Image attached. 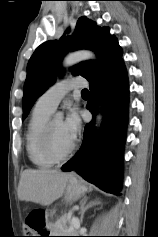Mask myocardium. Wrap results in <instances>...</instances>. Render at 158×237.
Segmentation results:
<instances>
[{"label": "myocardium", "mask_w": 158, "mask_h": 237, "mask_svg": "<svg viewBox=\"0 0 158 237\" xmlns=\"http://www.w3.org/2000/svg\"><path fill=\"white\" fill-rule=\"evenodd\" d=\"M54 120H49L43 131L41 134V148L42 151L44 153V155L50 159L51 161H53L54 163H59L62 161L67 160L68 158H70L75 150V144L72 143V146L70 147V149L62 154V155H58L52 146V142H51V129H52V124H53Z\"/></svg>", "instance_id": "1"}]
</instances>
